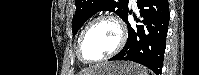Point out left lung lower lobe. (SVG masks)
I'll return each mask as SVG.
<instances>
[{"label":"left lung lower lobe","instance_id":"obj_1","mask_svg":"<svg viewBox=\"0 0 199 75\" xmlns=\"http://www.w3.org/2000/svg\"><path fill=\"white\" fill-rule=\"evenodd\" d=\"M141 19L128 23L127 12L123 20L128 23V40L124 48L110 60H130L151 69L156 75L162 72L163 55L169 24L168 0H137Z\"/></svg>","mask_w":199,"mask_h":75}]
</instances>
